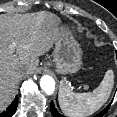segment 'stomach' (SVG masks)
Returning <instances> with one entry per match:
<instances>
[{"label": "stomach", "mask_w": 117, "mask_h": 117, "mask_svg": "<svg viewBox=\"0 0 117 117\" xmlns=\"http://www.w3.org/2000/svg\"><path fill=\"white\" fill-rule=\"evenodd\" d=\"M54 63L62 74L76 73L82 64L81 48L73 38L68 25L60 20L55 34Z\"/></svg>", "instance_id": "0dacf381"}]
</instances>
